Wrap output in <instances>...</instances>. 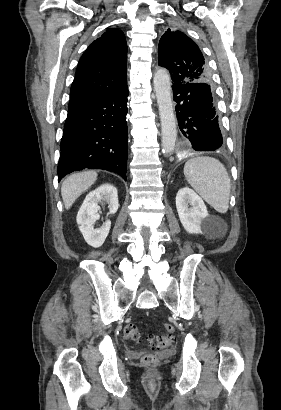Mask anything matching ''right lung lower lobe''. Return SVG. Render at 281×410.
I'll use <instances>...</instances> for the list:
<instances>
[{
    "instance_id": "1",
    "label": "right lung lower lobe",
    "mask_w": 281,
    "mask_h": 410,
    "mask_svg": "<svg viewBox=\"0 0 281 410\" xmlns=\"http://www.w3.org/2000/svg\"><path fill=\"white\" fill-rule=\"evenodd\" d=\"M127 97L126 84L68 109L58 181L85 168L112 171L127 179Z\"/></svg>"
}]
</instances>
